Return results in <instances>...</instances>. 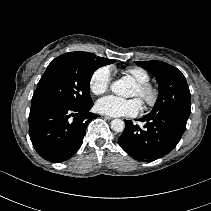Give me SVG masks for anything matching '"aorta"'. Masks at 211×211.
<instances>
[{"label": "aorta", "mask_w": 211, "mask_h": 211, "mask_svg": "<svg viewBox=\"0 0 211 211\" xmlns=\"http://www.w3.org/2000/svg\"><path fill=\"white\" fill-rule=\"evenodd\" d=\"M130 83L127 79L123 78L120 80L115 81L110 89L113 93L119 96H125L128 92ZM125 128V123L121 119H114L111 121V129L116 132H122Z\"/></svg>", "instance_id": "762f6f07"}]
</instances>
